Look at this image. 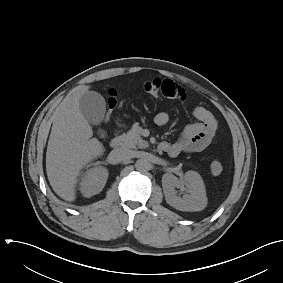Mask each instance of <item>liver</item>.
Here are the masks:
<instances>
[{"label":"liver","instance_id":"1","mask_svg":"<svg viewBox=\"0 0 283 283\" xmlns=\"http://www.w3.org/2000/svg\"><path fill=\"white\" fill-rule=\"evenodd\" d=\"M88 86L81 87L63 101L53 121L46 152V172L54 192L65 201L76 198L81 170L103 155L104 147L96 138L80 110V98Z\"/></svg>","mask_w":283,"mask_h":283}]
</instances>
